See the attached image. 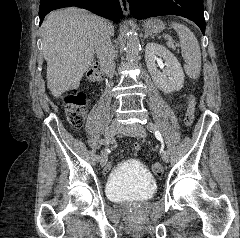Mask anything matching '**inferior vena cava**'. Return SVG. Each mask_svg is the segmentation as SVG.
<instances>
[{
	"instance_id": "602c4592",
	"label": "inferior vena cava",
	"mask_w": 240,
	"mask_h": 238,
	"mask_svg": "<svg viewBox=\"0 0 240 238\" xmlns=\"http://www.w3.org/2000/svg\"><path fill=\"white\" fill-rule=\"evenodd\" d=\"M95 51L104 73L112 77L115 71V52L110 41L109 27L103 21L98 22V29L95 36Z\"/></svg>"
}]
</instances>
